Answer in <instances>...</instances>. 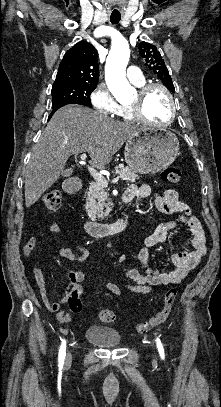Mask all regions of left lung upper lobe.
Wrapping results in <instances>:
<instances>
[{
	"instance_id": "left-lung-upper-lobe-1",
	"label": "left lung upper lobe",
	"mask_w": 221,
	"mask_h": 407,
	"mask_svg": "<svg viewBox=\"0 0 221 407\" xmlns=\"http://www.w3.org/2000/svg\"><path fill=\"white\" fill-rule=\"evenodd\" d=\"M138 49L140 55L145 61V65L157 74L170 91L174 92L175 88L171 76L169 75L168 69L157 48L147 42H141Z\"/></svg>"
}]
</instances>
